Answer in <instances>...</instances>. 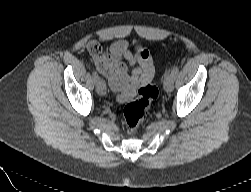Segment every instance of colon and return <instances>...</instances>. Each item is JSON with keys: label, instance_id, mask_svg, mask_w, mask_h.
Here are the masks:
<instances>
[{"label": "colon", "instance_id": "colon-1", "mask_svg": "<svg viewBox=\"0 0 251 192\" xmlns=\"http://www.w3.org/2000/svg\"><path fill=\"white\" fill-rule=\"evenodd\" d=\"M158 96V89L146 83L138 89L137 98L128 103L123 110L126 129L129 133L136 131L145 121L148 108Z\"/></svg>", "mask_w": 251, "mask_h": 192}]
</instances>
